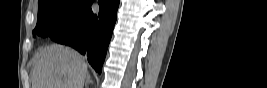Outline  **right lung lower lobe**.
<instances>
[{
	"label": "right lung lower lobe",
	"mask_w": 267,
	"mask_h": 88,
	"mask_svg": "<svg viewBox=\"0 0 267 88\" xmlns=\"http://www.w3.org/2000/svg\"><path fill=\"white\" fill-rule=\"evenodd\" d=\"M98 3V15L92 12L90 5L77 22L51 39L86 55L88 62L100 74L116 22L119 0H99Z\"/></svg>",
	"instance_id": "right-lung-lower-lobe-1"
}]
</instances>
